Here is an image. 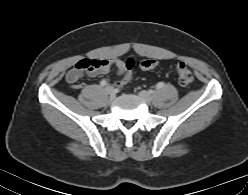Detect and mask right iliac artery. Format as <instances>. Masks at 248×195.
I'll return each mask as SVG.
<instances>
[{
    "instance_id": "1",
    "label": "right iliac artery",
    "mask_w": 248,
    "mask_h": 195,
    "mask_svg": "<svg viewBox=\"0 0 248 195\" xmlns=\"http://www.w3.org/2000/svg\"><path fill=\"white\" fill-rule=\"evenodd\" d=\"M100 84H101V86H105V85L107 84V82H106L105 80H102V81L100 82Z\"/></svg>"
}]
</instances>
